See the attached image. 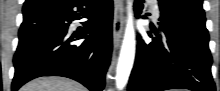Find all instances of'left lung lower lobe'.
Segmentation results:
<instances>
[{"instance_id":"0a47b994","label":"left lung lower lobe","mask_w":220,"mask_h":91,"mask_svg":"<svg viewBox=\"0 0 220 91\" xmlns=\"http://www.w3.org/2000/svg\"><path fill=\"white\" fill-rule=\"evenodd\" d=\"M143 2L136 0L137 17L142 13ZM159 8L162 33L151 27L148 35L151 37L154 32L157 36L152 42L138 36L128 91H215L205 15L164 2H159Z\"/></svg>"}]
</instances>
